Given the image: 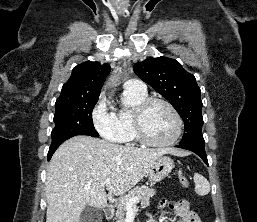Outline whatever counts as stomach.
Returning <instances> with one entry per match:
<instances>
[{"instance_id":"obj_1","label":"stomach","mask_w":257,"mask_h":222,"mask_svg":"<svg viewBox=\"0 0 257 222\" xmlns=\"http://www.w3.org/2000/svg\"><path fill=\"white\" fill-rule=\"evenodd\" d=\"M174 168L173 160L167 156L157 158L148 171V177L151 183L155 184L167 177Z\"/></svg>"}]
</instances>
